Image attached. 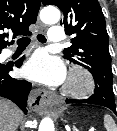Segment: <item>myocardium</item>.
I'll list each match as a JSON object with an SVG mask.
<instances>
[{"label":"myocardium","instance_id":"myocardium-1","mask_svg":"<svg viewBox=\"0 0 117 131\" xmlns=\"http://www.w3.org/2000/svg\"><path fill=\"white\" fill-rule=\"evenodd\" d=\"M94 88L95 81L92 74L81 66H74L69 71L62 91L71 97H84L92 93Z\"/></svg>","mask_w":117,"mask_h":131}]
</instances>
